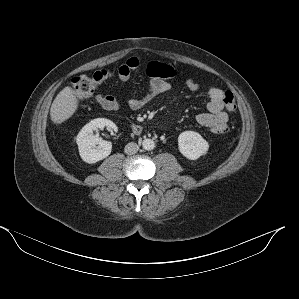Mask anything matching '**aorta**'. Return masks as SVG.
<instances>
[{
  "instance_id": "obj_1",
  "label": "aorta",
  "mask_w": 299,
  "mask_h": 299,
  "mask_svg": "<svg viewBox=\"0 0 299 299\" xmlns=\"http://www.w3.org/2000/svg\"><path fill=\"white\" fill-rule=\"evenodd\" d=\"M142 146L145 150H153L155 148V142L152 139H144Z\"/></svg>"
}]
</instances>
